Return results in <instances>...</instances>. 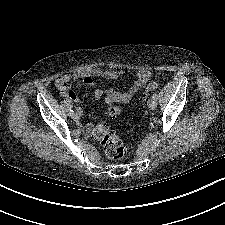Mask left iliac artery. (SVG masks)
Masks as SVG:
<instances>
[{
  "label": "left iliac artery",
  "instance_id": "obj_1",
  "mask_svg": "<svg viewBox=\"0 0 225 225\" xmlns=\"http://www.w3.org/2000/svg\"><path fill=\"white\" fill-rule=\"evenodd\" d=\"M152 99L157 100V99H158V95H157L156 93H154V94L152 95Z\"/></svg>",
  "mask_w": 225,
  "mask_h": 225
}]
</instances>
